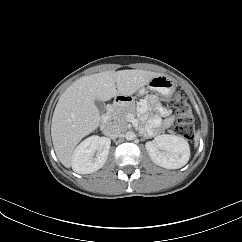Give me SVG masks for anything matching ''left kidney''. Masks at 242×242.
I'll list each match as a JSON object with an SVG mask.
<instances>
[{
    "instance_id": "1",
    "label": "left kidney",
    "mask_w": 242,
    "mask_h": 242,
    "mask_svg": "<svg viewBox=\"0 0 242 242\" xmlns=\"http://www.w3.org/2000/svg\"><path fill=\"white\" fill-rule=\"evenodd\" d=\"M151 160L166 169H178L186 165L190 157L188 142L175 135H159L145 144Z\"/></svg>"
}]
</instances>
